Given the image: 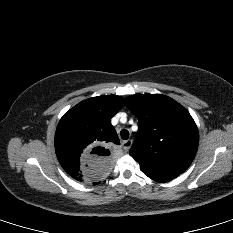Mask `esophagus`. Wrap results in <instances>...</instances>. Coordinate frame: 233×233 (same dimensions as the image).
<instances>
[{"instance_id": "34e87169", "label": "esophagus", "mask_w": 233, "mask_h": 233, "mask_svg": "<svg viewBox=\"0 0 233 233\" xmlns=\"http://www.w3.org/2000/svg\"><path fill=\"white\" fill-rule=\"evenodd\" d=\"M132 140H125L122 142V147L125 151H128L130 149V147L132 146Z\"/></svg>"}]
</instances>
